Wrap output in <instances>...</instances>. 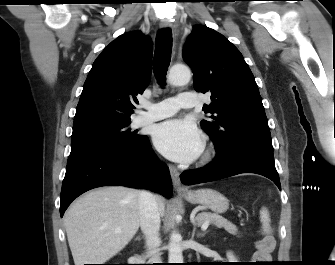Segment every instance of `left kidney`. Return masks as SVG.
<instances>
[{
    "label": "left kidney",
    "instance_id": "obj_1",
    "mask_svg": "<svg viewBox=\"0 0 335 265\" xmlns=\"http://www.w3.org/2000/svg\"><path fill=\"white\" fill-rule=\"evenodd\" d=\"M227 258H228L229 262H237V260H235L236 258L234 257V255L231 252L227 253Z\"/></svg>",
    "mask_w": 335,
    "mask_h": 265
}]
</instances>
